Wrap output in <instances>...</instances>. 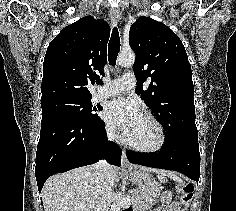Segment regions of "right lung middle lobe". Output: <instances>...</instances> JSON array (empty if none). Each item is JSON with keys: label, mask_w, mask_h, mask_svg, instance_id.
Returning a JSON list of instances; mask_svg holds the SVG:
<instances>
[{"label": "right lung middle lobe", "mask_w": 236, "mask_h": 211, "mask_svg": "<svg viewBox=\"0 0 236 211\" xmlns=\"http://www.w3.org/2000/svg\"><path fill=\"white\" fill-rule=\"evenodd\" d=\"M41 105L42 119L45 117H65L88 123L101 121L95 113L101 109L92 106L91 98H58Z\"/></svg>", "instance_id": "dd1d6c3e"}]
</instances>
